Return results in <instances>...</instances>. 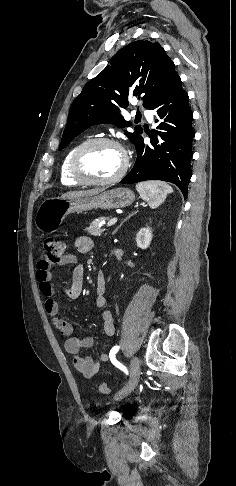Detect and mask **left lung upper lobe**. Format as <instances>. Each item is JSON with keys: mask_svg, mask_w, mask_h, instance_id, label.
I'll use <instances>...</instances> for the list:
<instances>
[{"mask_svg": "<svg viewBox=\"0 0 236 486\" xmlns=\"http://www.w3.org/2000/svg\"><path fill=\"white\" fill-rule=\"evenodd\" d=\"M177 77L173 61L159 43L138 40L128 44L111 58L110 65L90 80L74 100L59 150L92 124L130 126L131 123L119 114L121 108L128 106V98L144 94L143 107L148 109ZM141 133L140 126L135 127V133L125 131L133 144L141 138Z\"/></svg>", "mask_w": 236, "mask_h": 486, "instance_id": "obj_1", "label": "left lung upper lobe"}]
</instances>
